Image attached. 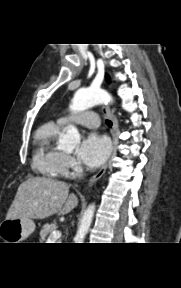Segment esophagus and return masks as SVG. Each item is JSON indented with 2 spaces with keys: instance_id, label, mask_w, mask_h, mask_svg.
Instances as JSON below:
<instances>
[{
  "instance_id": "1",
  "label": "esophagus",
  "mask_w": 181,
  "mask_h": 288,
  "mask_svg": "<svg viewBox=\"0 0 181 288\" xmlns=\"http://www.w3.org/2000/svg\"><path fill=\"white\" fill-rule=\"evenodd\" d=\"M102 112L111 119L113 123V129H112V135L113 139L115 138L116 130L118 128V121L114 113L111 111V109L108 106L102 107ZM113 147H115V144H113ZM108 167V163L104 164L101 169L90 179L88 183V187H91L98 179L102 177V175L105 173L106 169Z\"/></svg>"
}]
</instances>
